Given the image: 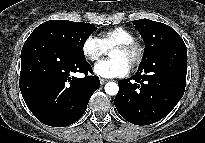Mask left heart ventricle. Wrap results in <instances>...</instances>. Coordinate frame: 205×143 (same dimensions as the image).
Listing matches in <instances>:
<instances>
[{
	"label": "left heart ventricle",
	"mask_w": 205,
	"mask_h": 143,
	"mask_svg": "<svg viewBox=\"0 0 205 143\" xmlns=\"http://www.w3.org/2000/svg\"><path fill=\"white\" fill-rule=\"evenodd\" d=\"M133 53L132 52H126V51H122L119 49H113L110 52V57L112 59H120L125 61L128 65H130L132 59H133Z\"/></svg>",
	"instance_id": "1"
}]
</instances>
